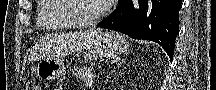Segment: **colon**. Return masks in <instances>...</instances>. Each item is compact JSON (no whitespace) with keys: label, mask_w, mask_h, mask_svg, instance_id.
<instances>
[{"label":"colon","mask_w":216,"mask_h":90,"mask_svg":"<svg viewBox=\"0 0 216 90\" xmlns=\"http://www.w3.org/2000/svg\"><path fill=\"white\" fill-rule=\"evenodd\" d=\"M25 90H39L38 86L34 82H27L24 86Z\"/></svg>","instance_id":"5ec220e1"}]
</instances>
